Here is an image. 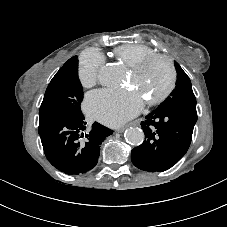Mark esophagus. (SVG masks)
<instances>
[{
    "instance_id": "34e87169",
    "label": "esophagus",
    "mask_w": 227,
    "mask_h": 227,
    "mask_svg": "<svg viewBox=\"0 0 227 227\" xmlns=\"http://www.w3.org/2000/svg\"><path fill=\"white\" fill-rule=\"evenodd\" d=\"M134 125H138V122L131 121L130 123L125 124L124 127L117 129V132L122 133V132H124L125 129H128Z\"/></svg>"
}]
</instances>
